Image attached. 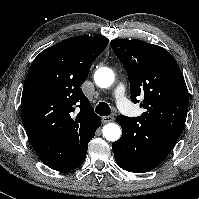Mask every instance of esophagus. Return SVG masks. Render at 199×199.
<instances>
[{
	"instance_id": "obj_1",
	"label": "esophagus",
	"mask_w": 199,
	"mask_h": 199,
	"mask_svg": "<svg viewBox=\"0 0 199 199\" xmlns=\"http://www.w3.org/2000/svg\"><path fill=\"white\" fill-rule=\"evenodd\" d=\"M102 121L104 123L113 122L114 121V117L113 116H105V117L102 118Z\"/></svg>"
}]
</instances>
